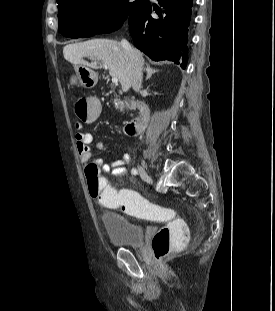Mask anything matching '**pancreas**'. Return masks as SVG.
Returning <instances> with one entry per match:
<instances>
[{"label": "pancreas", "instance_id": "cf45deb5", "mask_svg": "<svg viewBox=\"0 0 275 311\" xmlns=\"http://www.w3.org/2000/svg\"><path fill=\"white\" fill-rule=\"evenodd\" d=\"M114 103H115V107H117V108H122L124 106V102L119 101L118 99H115ZM125 104H127L126 101H125Z\"/></svg>", "mask_w": 275, "mask_h": 311}]
</instances>
